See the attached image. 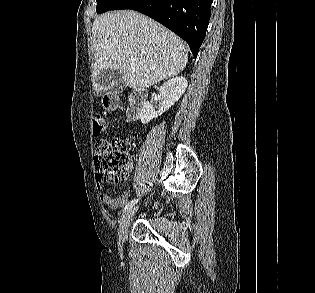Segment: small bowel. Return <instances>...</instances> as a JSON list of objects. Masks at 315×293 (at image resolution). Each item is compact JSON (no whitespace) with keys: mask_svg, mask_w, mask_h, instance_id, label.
I'll return each mask as SVG.
<instances>
[{"mask_svg":"<svg viewBox=\"0 0 315 293\" xmlns=\"http://www.w3.org/2000/svg\"><path fill=\"white\" fill-rule=\"evenodd\" d=\"M129 168L131 169V164ZM97 189L100 192V199L102 203L108 205L112 209H117L127 202L128 198L127 192L119 196L113 197L103 190L102 184L100 182H97Z\"/></svg>","mask_w":315,"mask_h":293,"instance_id":"obj_1","label":"small bowel"}]
</instances>
